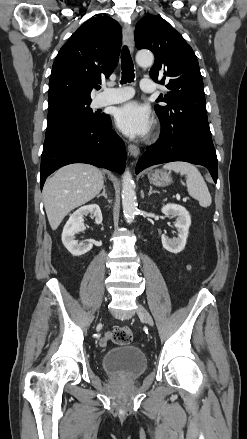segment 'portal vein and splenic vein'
<instances>
[{
	"mask_svg": "<svg viewBox=\"0 0 247 439\" xmlns=\"http://www.w3.org/2000/svg\"><path fill=\"white\" fill-rule=\"evenodd\" d=\"M187 200V198H183V201H186Z\"/></svg>",
	"mask_w": 247,
	"mask_h": 439,
	"instance_id": "18ae733b",
	"label": "portal vein and splenic vein"
}]
</instances>
